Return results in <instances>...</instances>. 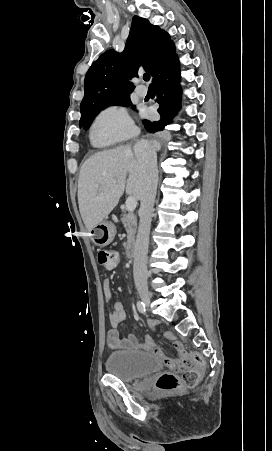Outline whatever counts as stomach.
<instances>
[{"label":"stomach","instance_id":"0dacf381","mask_svg":"<svg viewBox=\"0 0 272 451\" xmlns=\"http://www.w3.org/2000/svg\"><path fill=\"white\" fill-rule=\"evenodd\" d=\"M116 233V227L111 222L107 220H102L99 224L90 229V237L99 247H104V245H109L113 241V237Z\"/></svg>","mask_w":272,"mask_h":451}]
</instances>
